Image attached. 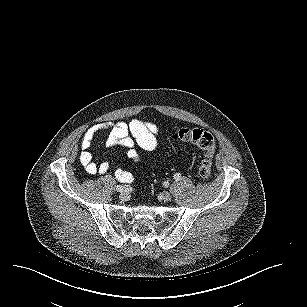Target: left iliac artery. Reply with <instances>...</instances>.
I'll list each match as a JSON object with an SVG mask.
<instances>
[{"label": "left iliac artery", "instance_id": "44dca946", "mask_svg": "<svg viewBox=\"0 0 307 307\" xmlns=\"http://www.w3.org/2000/svg\"><path fill=\"white\" fill-rule=\"evenodd\" d=\"M173 178L175 180H180L181 179V174L180 173H176V174H174Z\"/></svg>", "mask_w": 307, "mask_h": 307}]
</instances>
